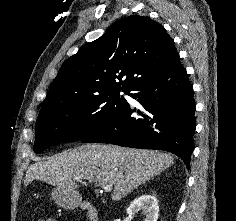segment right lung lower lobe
I'll use <instances>...</instances> for the list:
<instances>
[{"mask_svg": "<svg viewBox=\"0 0 236 221\" xmlns=\"http://www.w3.org/2000/svg\"><path fill=\"white\" fill-rule=\"evenodd\" d=\"M129 96L144 108L129 103L107 123L82 138V142L112 143L119 146L165 150L179 156L189 166L193 152L195 101L193 87L177 55L165 68L137 82Z\"/></svg>", "mask_w": 236, "mask_h": 221, "instance_id": "98d812e1", "label": "right lung lower lobe"}]
</instances>
